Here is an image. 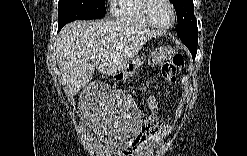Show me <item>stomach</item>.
<instances>
[{"instance_id":"stomach-1","label":"stomach","mask_w":247,"mask_h":156,"mask_svg":"<svg viewBox=\"0 0 247 156\" xmlns=\"http://www.w3.org/2000/svg\"><path fill=\"white\" fill-rule=\"evenodd\" d=\"M172 55H173V49H171L170 47H160V48L155 49L150 54V59L153 64L158 65V64L165 62L169 58H171ZM141 65H142V60L139 58H135L130 63H128V65L123 71L119 72L117 75H120V78L125 79L129 77L130 75H132L133 73H135V71Z\"/></svg>"}]
</instances>
